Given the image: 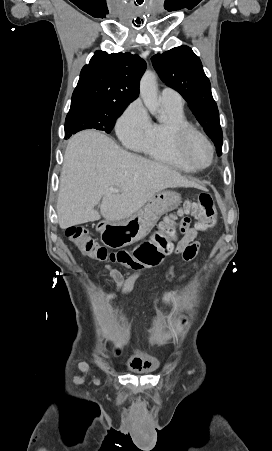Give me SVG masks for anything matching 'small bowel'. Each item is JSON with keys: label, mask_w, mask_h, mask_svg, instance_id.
<instances>
[{"label": "small bowel", "mask_w": 272, "mask_h": 451, "mask_svg": "<svg viewBox=\"0 0 272 451\" xmlns=\"http://www.w3.org/2000/svg\"><path fill=\"white\" fill-rule=\"evenodd\" d=\"M179 231L181 233V238L178 243L174 247V254L180 256L183 262H193L194 266H197L196 262H194L196 256L198 255L201 244L197 240V229L190 226V218L184 217L179 226ZM102 268L107 271L109 276L115 282V290L120 298H123L127 295L133 288L138 276L145 269L137 270L132 273L128 277H124L123 274L109 263H102ZM167 276L170 280L180 282L186 279L190 273L186 272L182 275H176L171 267H168ZM96 283L99 282V278L97 275H94ZM120 353V348L117 347L115 349V354L118 355Z\"/></svg>", "instance_id": "small-bowel-1"}]
</instances>
